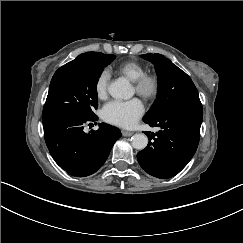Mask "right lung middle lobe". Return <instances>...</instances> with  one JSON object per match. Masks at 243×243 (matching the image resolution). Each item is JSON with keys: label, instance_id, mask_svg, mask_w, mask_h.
<instances>
[{"label": "right lung middle lobe", "instance_id": "dd1d6c3e", "mask_svg": "<svg viewBox=\"0 0 243 243\" xmlns=\"http://www.w3.org/2000/svg\"><path fill=\"white\" fill-rule=\"evenodd\" d=\"M115 55L103 54L89 61L67 63L52 77L43 108L46 123L65 115L94 118L98 106L97 82L105 66Z\"/></svg>", "mask_w": 243, "mask_h": 243}]
</instances>
